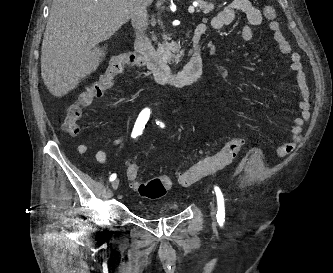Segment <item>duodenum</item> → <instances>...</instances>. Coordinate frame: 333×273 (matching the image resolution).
Wrapping results in <instances>:
<instances>
[{
  "mask_svg": "<svg viewBox=\"0 0 333 273\" xmlns=\"http://www.w3.org/2000/svg\"><path fill=\"white\" fill-rule=\"evenodd\" d=\"M203 31L197 26L192 39L190 57L181 71L172 72L166 60L155 52L149 42L147 33L136 35L135 46L144 64L150 70L154 79L174 87H183L197 81L202 74L200 41Z\"/></svg>",
  "mask_w": 333,
  "mask_h": 273,
  "instance_id": "duodenum-1",
  "label": "duodenum"
}]
</instances>
